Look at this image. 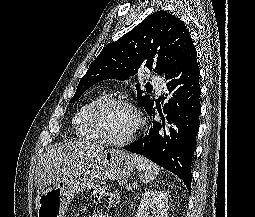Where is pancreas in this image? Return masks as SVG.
Listing matches in <instances>:
<instances>
[{"instance_id": "obj_1", "label": "pancreas", "mask_w": 255, "mask_h": 217, "mask_svg": "<svg viewBox=\"0 0 255 217\" xmlns=\"http://www.w3.org/2000/svg\"><path fill=\"white\" fill-rule=\"evenodd\" d=\"M125 183H126L125 180H120V181H119V186H123Z\"/></svg>"}]
</instances>
